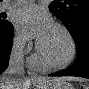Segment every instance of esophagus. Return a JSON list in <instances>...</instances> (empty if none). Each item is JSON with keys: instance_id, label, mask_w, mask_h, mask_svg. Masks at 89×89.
I'll return each instance as SVG.
<instances>
[{"instance_id": "obj_1", "label": "esophagus", "mask_w": 89, "mask_h": 89, "mask_svg": "<svg viewBox=\"0 0 89 89\" xmlns=\"http://www.w3.org/2000/svg\"><path fill=\"white\" fill-rule=\"evenodd\" d=\"M32 78H33V79H39V76H38L36 73L33 72V73H32Z\"/></svg>"}]
</instances>
